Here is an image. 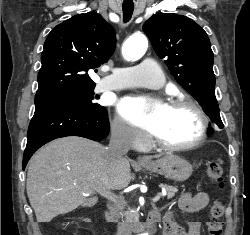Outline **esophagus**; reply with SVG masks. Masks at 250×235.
Returning a JSON list of instances; mask_svg holds the SVG:
<instances>
[{
	"label": "esophagus",
	"mask_w": 250,
	"mask_h": 235,
	"mask_svg": "<svg viewBox=\"0 0 250 235\" xmlns=\"http://www.w3.org/2000/svg\"><path fill=\"white\" fill-rule=\"evenodd\" d=\"M138 163H148L149 159L144 156H139L137 159Z\"/></svg>",
	"instance_id": "34e87169"
}]
</instances>
